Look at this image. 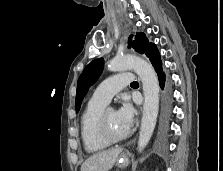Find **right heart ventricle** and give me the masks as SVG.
<instances>
[{
	"mask_svg": "<svg viewBox=\"0 0 223 171\" xmlns=\"http://www.w3.org/2000/svg\"><path fill=\"white\" fill-rule=\"evenodd\" d=\"M106 104L91 98L80 118V136L84 149L88 153H98L109 144L103 142L97 134V121Z\"/></svg>",
	"mask_w": 223,
	"mask_h": 171,
	"instance_id": "right-heart-ventricle-1",
	"label": "right heart ventricle"
}]
</instances>
